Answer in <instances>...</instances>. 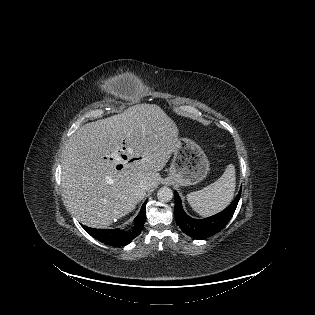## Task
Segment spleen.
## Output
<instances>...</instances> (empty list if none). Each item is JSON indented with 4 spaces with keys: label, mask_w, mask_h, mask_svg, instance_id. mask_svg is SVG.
<instances>
[{
    "label": "spleen",
    "mask_w": 315,
    "mask_h": 315,
    "mask_svg": "<svg viewBox=\"0 0 315 315\" xmlns=\"http://www.w3.org/2000/svg\"><path fill=\"white\" fill-rule=\"evenodd\" d=\"M236 187L235 167L229 164L223 175L203 189L187 194V201L203 217L214 215L226 208L233 199Z\"/></svg>",
    "instance_id": "spleen-1"
}]
</instances>
